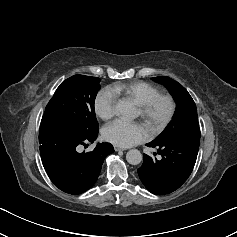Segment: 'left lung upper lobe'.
Masks as SVG:
<instances>
[{
	"mask_svg": "<svg viewBox=\"0 0 237 237\" xmlns=\"http://www.w3.org/2000/svg\"><path fill=\"white\" fill-rule=\"evenodd\" d=\"M153 81L163 84L176 102V111L164 131L154 142H200L197 108L188 91L169 77H154Z\"/></svg>",
	"mask_w": 237,
	"mask_h": 237,
	"instance_id": "left-lung-upper-lobe-1",
	"label": "left lung upper lobe"
}]
</instances>
